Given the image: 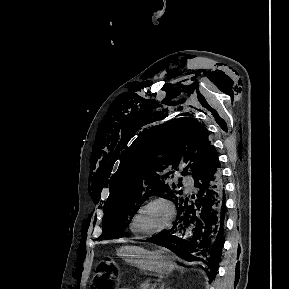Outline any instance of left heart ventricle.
Returning a JSON list of instances; mask_svg holds the SVG:
<instances>
[{
    "instance_id": "b2bd125f",
    "label": "left heart ventricle",
    "mask_w": 289,
    "mask_h": 289,
    "mask_svg": "<svg viewBox=\"0 0 289 289\" xmlns=\"http://www.w3.org/2000/svg\"><path fill=\"white\" fill-rule=\"evenodd\" d=\"M168 218V212L165 207L154 204L147 207L137 218L136 228L142 232L153 231L163 226Z\"/></svg>"
}]
</instances>
